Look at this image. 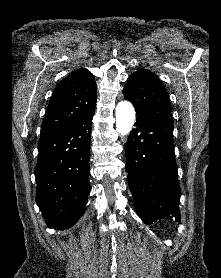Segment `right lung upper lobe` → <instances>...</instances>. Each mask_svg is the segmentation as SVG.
Segmentation results:
<instances>
[{"label":"right lung upper lobe","mask_w":221,"mask_h":278,"mask_svg":"<svg viewBox=\"0 0 221 278\" xmlns=\"http://www.w3.org/2000/svg\"><path fill=\"white\" fill-rule=\"evenodd\" d=\"M97 85L94 75L82 68L71 72L55 88L41 127L43 142L94 111Z\"/></svg>","instance_id":"1"}]
</instances>
